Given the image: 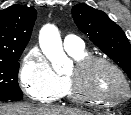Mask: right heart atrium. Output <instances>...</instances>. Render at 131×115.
Masks as SVG:
<instances>
[{
	"label": "right heart atrium",
	"mask_w": 131,
	"mask_h": 115,
	"mask_svg": "<svg viewBox=\"0 0 131 115\" xmlns=\"http://www.w3.org/2000/svg\"><path fill=\"white\" fill-rule=\"evenodd\" d=\"M19 82L29 98L41 103L54 101L63 89L62 78L38 48H31L22 58Z\"/></svg>",
	"instance_id": "d8ad5b80"
}]
</instances>
